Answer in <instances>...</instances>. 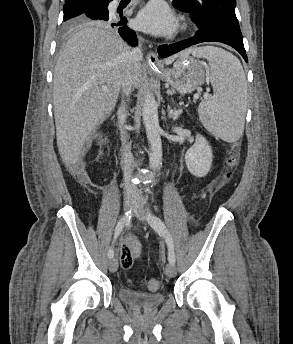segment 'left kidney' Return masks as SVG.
Returning a JSON list of instances; mask_svg holds the SVG:
<instances>
[{"label":"left kidney","instance_id":"5707ae66","mask_svg":"<svg viewBox=\"0 0 293 344\" xmlns=\"http://www.w3.org/2000/svg\"><path fill=\"white\" fill-rule=\"evenodd\" d=\"M213 153L208 141L200 134L185 154V163L188 171L196 177H204L210 171Z\"/></svg>","mask_w":293,"mask_h":344}]
</instances>
